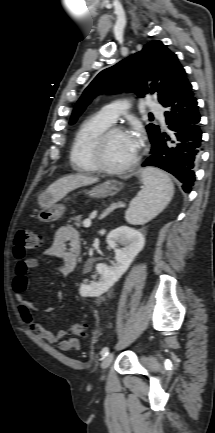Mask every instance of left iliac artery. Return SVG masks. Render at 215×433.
<instances>
[{"label":"left iliac artery","mask_w":215,"mask_h":433,"mask_svg":"<svg viewBox=\"0 0 215 433\" xmlns=\"http://www.w3.org/2000/svg\"><path fill=\"white\" fill-rule=\"evenodd\" d=\"M109 353V348L108 347H104L101 351V356L104 358L105 356H107Z\"/></svg>","instance_id":"1"}]
</instances>
